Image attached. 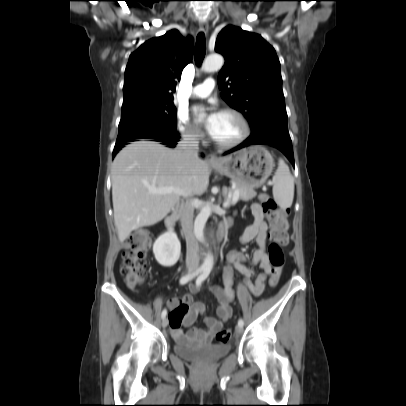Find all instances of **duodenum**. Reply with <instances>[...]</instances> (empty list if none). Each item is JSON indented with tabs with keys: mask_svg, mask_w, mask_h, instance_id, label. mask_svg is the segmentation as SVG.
<instances>
[{
	"mask_svg": "<svg viewBox=\"0 0 406 406\" xmlns=\"http://www.w3.org/2000/svg\"><path fill=\"white\" fill-rule=\"evenodd\" d=\"M181 210H182V207H177L172 211V213L168 217H166V219H165V227L168 230H173L174 229V227H175V225H176V223H177V221H178V219H179V217L181 215ZM229 225H230V223L227 222V221L223 222V223H221L219 225L218 231H217V239L219 241L223 240V238L225 236V232H226L227 228L229 227Z\"/></svg>",
	"mask_w": 406,
	"mask_h": 406,
	"instance_id": "duodenum-1",
	"label": "duodenum"
}]
</instances>
